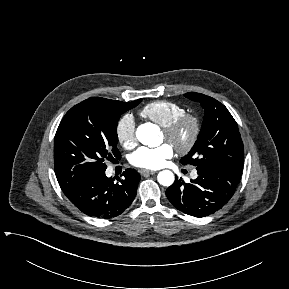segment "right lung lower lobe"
<instances>
[{"instance_id": "98d812e1", "label": "right lung lower lobe", "mask_w": 289, "mask_h": 289, "mask_svg": "<svg viewBox=\"0 0 289 289\" xmlns=\"http://www.w3.org/2000/svg\"><path fill=\"white\" fill-rule=\"evenodd\" d=\"M122 176L123 179L117 177L115 181L102 172L63 192L86 215L112 218L131 205L141 178L135 169H126Z\"/></svg>"}]
</instances>
